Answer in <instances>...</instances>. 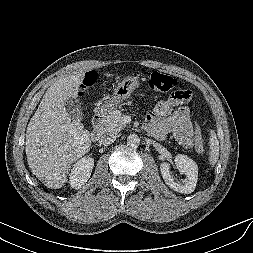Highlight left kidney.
Returning a JSON list of instances; mask_svg holds the SVG:
<instances>
[{
    "instance_id": "5707ae66",
    "label": "left kidney",
    "mask_w": 253,
    "mask_h": 253,
    "mask_svg": "<svg viewBox=\"0 0 253 253\" xmlns=\"http://www.w3.org/2000/svg\"><path fill=\"white\" fill-rule=\"evenodd\" d=\"M175 164L181 174H184L186 178L180 182L177 181L170 172V164L164 162L160 165L161 175L165 183L174 191L190 194L195 190L198 179V166L188 156L178 154L175 157Z\"/></svg>"
}]
</instances>
